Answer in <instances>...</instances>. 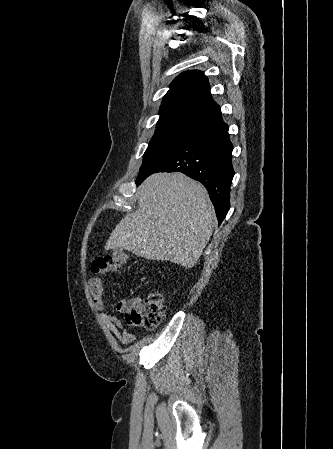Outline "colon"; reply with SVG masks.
Segmentation results:
<instances>
[{
    "label": "colon",
    "mask_w": 333,
    "mask_h": 449,
    "mask_svg": "<svg viewBox=\"0 0 333 449\" xmlns=\"http://www.w3.org/2000/svg\"><path fill=\"white\" fill-rule=\"evenodd\" d=\"M124 253H110L91 261V271L94 273H108L119 271L127 262ZM165 312V298L162 292L152 291L144 299H138L125 311V318L129 325L155 329L161 322Z\"/></svg>",
    "instance_id": "obj_1"
}]
</instances>
